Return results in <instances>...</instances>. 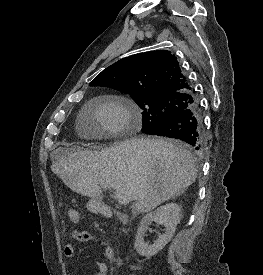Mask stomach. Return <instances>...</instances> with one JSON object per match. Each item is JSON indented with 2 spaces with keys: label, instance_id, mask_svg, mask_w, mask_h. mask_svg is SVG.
<instances>
[{
  "label": "stomach",
  "instance_id": "0dacf381",
  "mask_svg": "<svg viewBox=\"0 0 263 275\" xmlns=\"http://www.w3.org/2000/svg\"><path fill=\"white\" fill-rule=\"evenodd\" d=\"M87 208L94 213H97L101 209V204L97 200H91L87 204Z\"/></svg>",
  "mask_w": 263,
  "mask_h": 275
}]
</instances>
